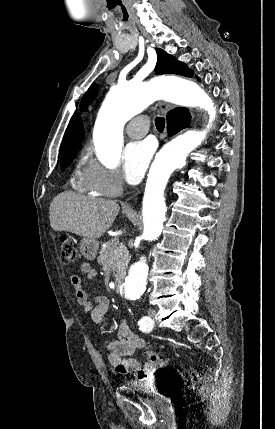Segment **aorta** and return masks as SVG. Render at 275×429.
<instances>
[{
    "mask_svg": "<svg viewBox=\"0 0 275 429\" xmlns=\"http://www.w3.org/2000/svg\"><path fill=\"white\" fill-rule=\"evenodd\" d=\"M187 107H199L208 112L210 123L216 109L211 97L195 82L181 78H162L149 83L128 82L113 86L98 113L94 128V146L97 157L110 168L117 166L123 145V126L133 116L156 100ZM207 130H188L168 142L160 150L150 170L143 197L142 238L158 239L166 221L164 190L171 174L185 165L187 155L205 138ZM148 278V266L141 258L134 263L125 279L123 294L134 299L144 291Z\"/></svg>",
    "mask_w": 275,
    "mask_h": 429,
    "instance_id": "aorta-1",
    "label": "aorta"
}]
</instances>
